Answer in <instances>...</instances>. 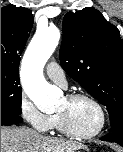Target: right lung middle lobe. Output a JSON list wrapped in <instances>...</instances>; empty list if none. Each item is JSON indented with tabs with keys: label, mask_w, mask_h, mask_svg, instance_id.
<instances>
[{
	"label": "right lung middle lobe",
	"mask_w": 123,
	"mask_h": 152,
	"mask_svg": "<svg viewBox=\"0 0 123 152\" xmlns=\"http://www.w3.org/2000/svg\"><path fill=\"white\" fill-rule=\"evenodd\" d=\"M17 71L1 70V112L21 114L22 88Z\"/></svg>",
	"instance_id": "dd1d6c3e"
}]
</instances>
